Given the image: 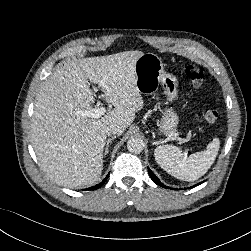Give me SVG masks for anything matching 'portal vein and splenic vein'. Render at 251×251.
<instances>
[{
  "label": "portal vein and splenic vein",
  "mask_w": 251,
  "mask_h": 251,
  "mask_svg": "<svg viewBox=\"0 0 251 251\" xmlns=\"http://www.w3.org/2000/svg\"><path fill=\"white\" fill-rule=\"evenodd\" d=\"M104 84L103 81L98 85L99 87ZM95 92L98 91L97 88L93 89ZM104 113H106V109L104 107L93 108L88 110H80L76 114L82 117H90V118H100Z\"/></svg>",
  "instance_id": "18ae733b"
}]
</instances>
